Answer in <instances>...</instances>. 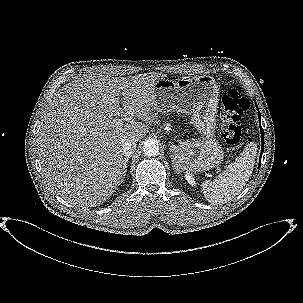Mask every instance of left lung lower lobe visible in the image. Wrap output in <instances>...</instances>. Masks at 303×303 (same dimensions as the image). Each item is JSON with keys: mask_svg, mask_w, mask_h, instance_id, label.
Masks as SVG:
<instances>
[{"mask_svg": "<svg viewBox=\"0 0 303 303\" xmlns=\"http://www.w3.org/2000/svg\"><path fill=\"white\" fill-rule=\"evenodd\" d=\"M258 108V107H257ZM258 116H259V122H260V125H261V116H260V112H258ZM261 137H262V150H261V156H260V159L262 157V153H263V150H264V133H263V129H262V126H261ZM261 164V160H260V163H259V166Z\"/></svg>", "mask_w": 303, "mask_h": 303, "instance_id": "left-lung-lower-lobe-1", "label": "left lung lower lobe"}]
</instances>
